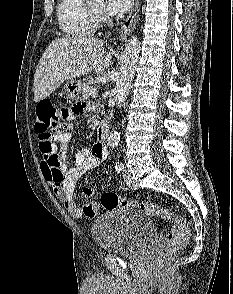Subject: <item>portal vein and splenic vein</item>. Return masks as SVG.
Instances as JSON below:
<instances>
[{"instance_id": "obj_1", "label": "portal vein and splenic vein", "mask_w": 233, "mask_h": 294, "mask_svg": "<svg viewBox=\"0 0 233 294\" xmlns=\"http://www.w3.org/2000/svg\"><path fill=\"white\" fill-rule=\"evenodd\" d=\"M90 94L93 95V96H96V95H97V89L92 88V89L90 90Z\"/></svg>"}]
</instances>
